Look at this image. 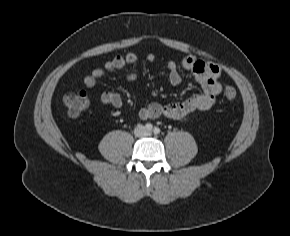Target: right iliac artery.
<instances>
[{"label":"right iliac artery","mask_w":290,"mask_h":236,"mask_svg":"<svg viewBox=\"0 0 290 236\" xmlns=\"http://www.w3.org/2000/svg\"><path fill=\"white\" fill-rule=\"evenodd\" d=\"M145 129L148 130V131H151L153 129V125L151 123H147L145 125Z\"/></svg>","instance_id":"right-iliac-artery-1"}]
</instances>
